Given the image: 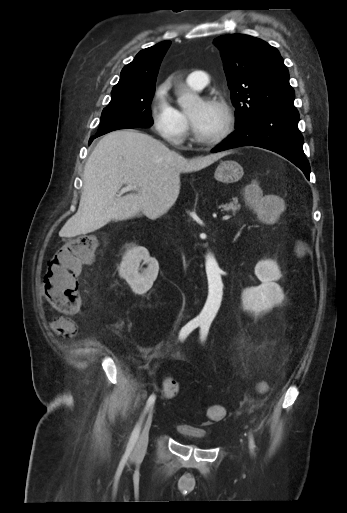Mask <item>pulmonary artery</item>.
<instances>
[{
  "label": "pulmonary artery",
  "mask_w": 347,
  "mask_h": 513,
  "mask_svg": "<svg viewBox=\"0 0 347 513\" xmlns=\"http://www.w3.org/2000/svg\"><path fill=\"white\" fill-rule=\"evenodd\" d=\"M188 84L195 90H201L207 86L209 75L205 71H194L188 75Z\"/></svg>",
  "instance_id": "obj_1"
}]
</instances>
